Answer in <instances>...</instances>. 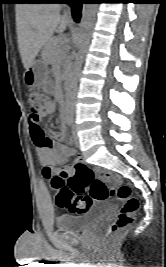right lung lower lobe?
Listing matches in <instances>:
<instances>
[{"instance_id": "right-lung-lower-lobe-1", "label": "right lung lower lobe", "mask_w": 166, "mask_h": 267, "mask_svg": "<svg viewBox=\"0 0 166 267\" xmlns=\"http://www.w3.org/2000/svg\"><path fill=\"white\" fill-rule=\"evenodd\" d=\"M24 3H55V0H23ZM68 4L71 5L72 8V15L76 22L80 20V11H81V5L83 3L82 0H69L67 1Z\"/></svg>"}]
</instances>
